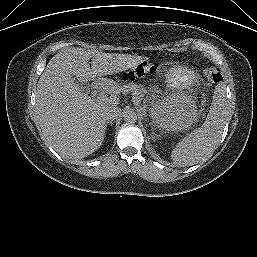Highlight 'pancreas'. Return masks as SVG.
Returning <instances> with one entry per match:
<instances>
[{
  "instance_id": "cf45deb5",
  "label": "pancreas",
  "mask_w": 257,
  "mask_h": 257,
  "mask_svg": "<svg viewBox=\"0 0 257 257\" xmlns=\"http://www.w3.org/2000/svg\"><path fill=\"white\" fill-rule=\"evenodd\" d=\"M122 89L123 91L125 90L131 91L134 99L138 100L139 102L144 99L145 94L147 93V90L144 87L137 84H129L127 86H123Z\"/></svg>"
}]
</instances>
